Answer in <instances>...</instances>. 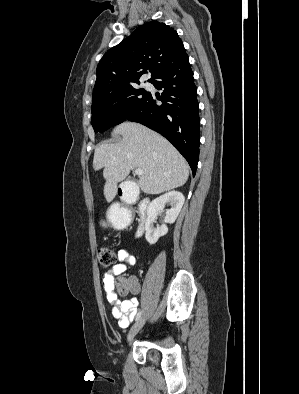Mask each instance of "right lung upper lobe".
<instances>
[{
	"label": "right lung upper lobe",
	"mask_w": 299,
	"mask_h": 394,
	"mask_svg": "<svg viewBox=\"0 0 299 394\" xmlns=\"http://www.w3.org/2000/svg\"><path fill=\"white\" fill-rule=\"evenodd\" d=\"M184 55L183 43L174 29L157 21L148 22L104 54L93 93L138 83L147 69L152 72V82Z\"/></svg>",
	"instance_id": "right-lung-upper-lobe-1"
}]
</instances>
